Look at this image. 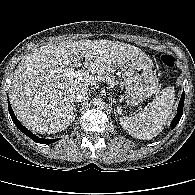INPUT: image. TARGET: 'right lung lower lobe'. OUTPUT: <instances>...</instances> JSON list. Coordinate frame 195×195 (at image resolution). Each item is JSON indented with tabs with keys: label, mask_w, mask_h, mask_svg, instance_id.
I'll return each mask as SVG.
<instances>
[{
	"label": "right lung lower lobe",
	"mask_w": 195,
	"mask_h": 195,
	"mask_svg": "<svg viewBox=\"0 0 195 195\" xmlns=\"http://www.w3.org/2000/svg\"><path fill=\"white\" fill-rule=\"evenodd\" d=\"M8 109H9V113L10 116L13 120V122L15 123V125L17 126V128L23 132L25 135H27L29 138H31L33 141H35L36 143H42V144H50L53 143L59 139H43V138H39L36 135H34L33 133H31L28 129H26L21 123L20 121L15 117L14 112L11 108V105L9 103L8 100Z\"/></svg>",
	"instance_id": "98d812e1"
}]
</instances>
